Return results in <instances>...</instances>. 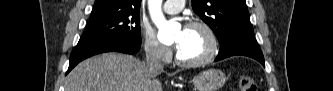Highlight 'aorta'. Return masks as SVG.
Wrapping results in <instances>:
<instances>
[{
  "label": "aorta",
  "mask_w": 333,
  "mask_h": 91,
  "mask_svg": "<svg viewBox=\"0 0 333 91\" xmlns=\"http://www.w3.org/2000/svg\"><path fill=\"white\" fill-rule=\"evenodd\" d=\"M162 0H149V10L153 22L158 28V39L160 41L174 40V32L177 25L172 21H167L161 12Z\"/></svg>",
  "instance_id": "762f6f07"
}]
</instances>
